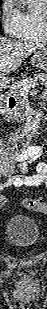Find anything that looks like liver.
Returning <instances> with one entry per match:
<instances>
[{"label": "liver", "instance_id": "obj_1", "mask_svg": "<svg viewBox=\"0 0 47 309\" xmlns=\"http://www.w3.org/2000/svg\"><path fill=\"white\" fill-rule=\"evenodd\" d=\"M41 48H44V45L13 41L1 37L0 72L3 74L16 71L26 58Z\"/></svg>", "mask_w": 47, "mask_h": 309}]
</instances>
